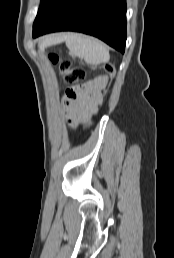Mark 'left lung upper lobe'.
Here are the masks:
<instances>
[{"label": "left lung upper lobe", "mask_w": 174, "mask_h": 258, "mask_svg": "<svg viewBox=\"0 0 174 258\" xmlns=\"http://www.w3.org/2000/svg\"><path fill=\"white\" fill-rule=\"evenodd\" d=\"M57 0H41L40 7L33 24V31L38 28L44 18L47 16L51 8L55 5Z\"/></svg>", "instance_id": "1"}]
</instances>
